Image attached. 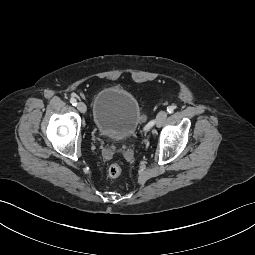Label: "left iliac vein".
<instances>
[{
  "label": "left iliac vein",
  "instance_id": "obj_1",
  "mask_svg": "<svg viewBox=\"0 0 255 255\" xmlns=\"http://www.w3.org/2000/svg\"><path fill=\"white\" fill-rule=\"evenodd\" d=\"M166 117H167V112L166 111L162 110V111L158 112V114H157V116H156V118L154 120V122L157 125V127H160L163 124V122L165 121Z\"/></svg>",
  "mask_w": 255,
  "mask_h": 255
}]
</instances>
